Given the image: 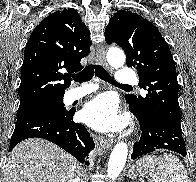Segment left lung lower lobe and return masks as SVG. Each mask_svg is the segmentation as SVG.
<instances>
[{"label":"left lung lower lobe","instance_id":"1","mask_svg":"<svg viewBox=\"0 0 196 182\" xmlns=\"http://www.w3.org/2000/svg\"><path fill=\"white\" fill-rule=\"evenodd\" d=\"M130 109L137 117L142 135L140 141L134 144L132 159L153 152L157 149H167L186 156L185 141L180 123H177L163 113L149 109L137 111L130 103Z\"/></svg>","mask_w":196,"mask_h":182}]
</instances>
